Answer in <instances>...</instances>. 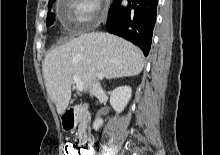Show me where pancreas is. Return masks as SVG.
Segmentation results:
<instances>
[{
  "instance_id": "pancreas-1",
  "label": "pancreas",
  "mask_w": 220,
  "mask_h": 155,
  "mask_svg": "<svg viewBox=\"0 0 220 155\" xmlns=\"http://www.w3.org/2000/svg\"><path fill=\"white\" fill-rule=\"evenodd\" d=\"M78 121H79V129L81 130L83 127L86 126L87 124V120L85 118V116L83 114H80L78 117Z\"/></svg>"
}]
</instances>
